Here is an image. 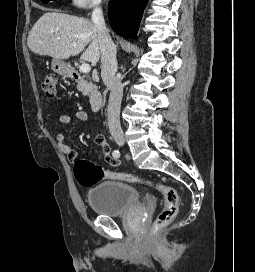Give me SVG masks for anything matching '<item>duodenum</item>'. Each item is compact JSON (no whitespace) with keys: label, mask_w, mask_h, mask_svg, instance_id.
I'll return each instance as SVG.
<instances>
[{"label":"duodenum","mask_w":255,"mask_h":272,"mask_svg":"<svg viewBox=\"0 0 255 272\" xmlns=\"http://www.w3.org/2000/svg\"><path fill=\"white\" fill-rule=\"evenodd\" d=\"M71 77L77 82L82 81L81 75L76 70L71 71ZM89 104L93 111L99 110L103 104L102 96L97 92H91L89 94Z\"/></svg>","instance_id":"obj_1"}]
</instances>
